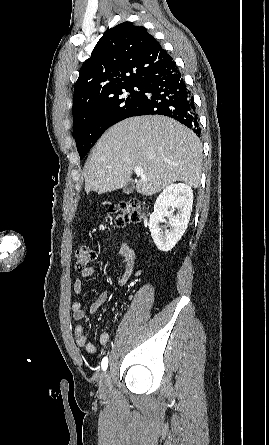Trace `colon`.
I'll return each instance as SVG.
<instances>
[{
  "mask_svg": "<svg viewBox=\"0 0 269 445\" xmlns=\"http://www.w3.org/2000/svg\"><path fill=\"white\" fill-rule=\"evenodd\" d=\"M142 203L138 199H131L118 205L111 206L109 211L114 216V223L118 227H123L127 223L141 221L143 213ZM96 251L86 245H81L75 250L76 269L83 271L96 259Z\"/></svg>",
  "mask_w": 269,
  "mask_h": 445,
  "instance_id": "1",
  "label": "colon"
}]
</instances>
